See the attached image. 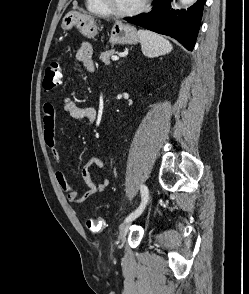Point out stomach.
<instances>
[{
  "label": "stomach",
  "instance_id": "obj_1",
  "mask_svg": "<svg viewBox=\"0 0 249 294\" xmlns=\"http://www.w3.org/2000/svg\"><path fill=\"white\" fill-rule=\"evenodd\" d=\"M62 29L70 30L76 27L82 35L93 38L97 34L96 21L88 16L76 11L68 12L62 20ZM139 41L137 29L129 24L116 21L110 33L109 42L115 44H136Z\"/></svg>",
  "mask_w": 249,
  "mask_h": 294
}]
</instances>
